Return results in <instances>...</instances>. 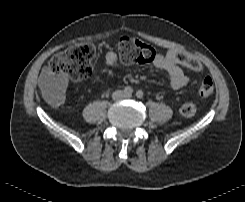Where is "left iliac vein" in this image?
<instances>
[{
    "mask_svg": "<svg viewBox=\"0 0 245 202\" xmlns=\"http://www.w3.org/2000/svg\"><path fill=\"white\" fill-rule=\"evenodd\" d=\"M125 97H126V98H130V97H131V95H125Z\"/></svg>",
    "mask_w": 245,
    "mask_h": 202,
    "instance_id": "left-iliac-vein-1",
    "label": "left iliac vein"
}]
</instances>
